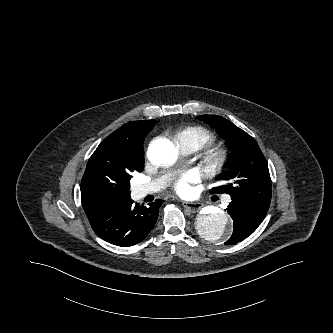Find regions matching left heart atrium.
Here are the masks:
<instances>
[{"instance_id":"39dd6f15","label":"left heart atrium","mask_w":333,"mask_h":333,"mask_svg":"<svg viewBox=\"0 0 333 333\" xmlns=\"http://www.w3.org/2000/svg\"><path fill=\"white\" fill-rule=\"evenodd\" d=\"M200 178L196 170H189L179 176L173 183L175 191L182 196H188L192 193V184Z\"/></svg>"}]
</instances>
